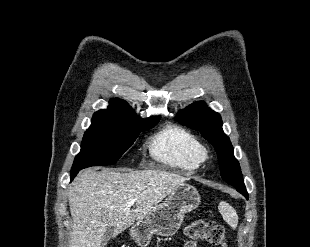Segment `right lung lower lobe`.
<instances>
[{
    "mask_svg": "<svg viewBox=\"0 0 310 247\" xmlns=\"http://www.w3.org/2000/svg\"><path fill=\"white\" fill-rule=\"evenodd\" d=\"M79 171L80 170L71 171V176H70L71 181L75 178V176L78 174Z\"/></svg>",
    "mask_w": 310,
    "mask_h": 247,
    "instance_id": "98d812e1",
    "label": "right lung lower lobe"
}]
</instances>
